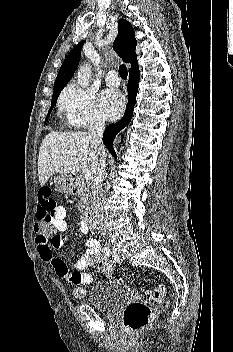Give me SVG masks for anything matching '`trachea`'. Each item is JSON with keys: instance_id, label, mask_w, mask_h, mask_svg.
I'll list each match as a JSON object with an SVG mask.
<instances>
[{"instance_id": "3493384b", "label": "trachea", "mask_w": 233, "mask_h": 352, "mask_svg": "<svg viewBox=\"0 0 233 352\" xmlns=\"http://www.w3.org/2000/svg\"><path fill=\"white\" fill-rule=\"evenodd\" d=\"M119 74L122 79H127L128 72H127V68L125 67L124 64L120 65Z\"/></svg>"}]
</instances>
